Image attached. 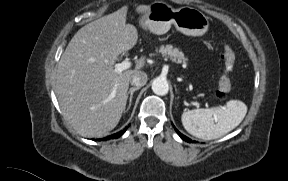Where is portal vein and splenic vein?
<instances>
[{
	"label": "portal vein and splenic vein",
	"instance_id": "1",
	"mask_svg": "<svg viewBox=\"0 0 288 181\" xmlns=\"http://www.w3.org/2000/svg\"><path fill=\"white\" fill-rule=\"evenodd\" d=\"M132 63L129 60H124L121 63H117L114 65V70L117 73H121L122 71L129 69L131 67ZM194 105H198L197 103H193Z\"/></svg>",
	"mask_w": 288,
	"mask_h": 181
}]
</instances>
